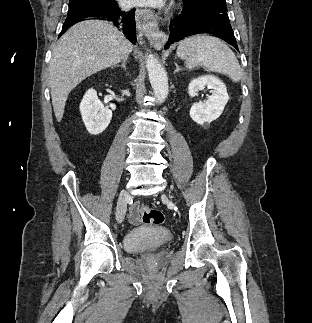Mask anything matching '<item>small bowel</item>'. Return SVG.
Returning a JSON list of instances; mask_svg holds the SVG:
<instances>
[{
    "label": "small bowel",
    "mask_w": 312,
    "mask_h": 323,
    "mask_svg": "<svg viewBox=\"0 0 312 323\" xmlns=\"http://www.w3.org/2000/svg\"><path fill=\"white\" fill-rule=\"evenodd\" d=\"M140 220L139 205L135 202L130 207L129 221L131 224L138 225Z\"/></svg>",
    "instance_id": "1"
}]
</instances>
